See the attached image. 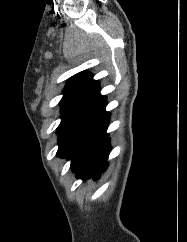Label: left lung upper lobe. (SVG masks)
I'll return each instance as SVG.
<instances>
[{
  "mask_svg": "<svg viewBox=\"0 0 187 242\" xmlns=\"http://www.w3.org/2000/svg\"><path fill=\"white\" fill-rule=\"evenodd\" d=\"M61 123L57 128V156L66 157L76 141L107 112L106 97L100 94L98 80L86 71L69 79L60 101Z\"/></svg>",
  "mask_w": 187,
  "mask_h": 242,
  "instance_id": "1",
  "label": "left lung upper lobe"
}]
</instances>
